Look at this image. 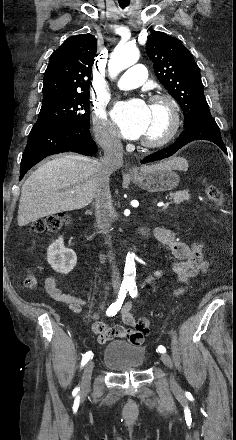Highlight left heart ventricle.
Instances as JSON below:
<instances>
[{
  "instance_id": "left-heart-ventricle-1",
  "label": "left heart ventricle",
  "mask_w": 236,
  "mask_h": 440,
  "mask_svg": "<svg viewBox=\"0 0 236 440\" xmlns=\"http://www.w3.org/2000/svg\"><path fill=\"white\" fill-rule=\"evenodd\" d=\"M150 116L143 138H158L162 136L169 125V113L162 104L150 105Z\"/></svg>"
}]
</instances>
